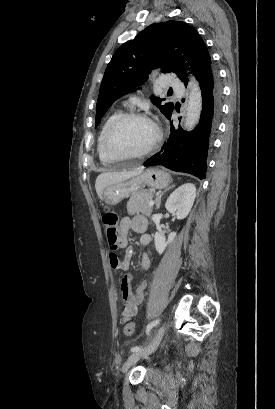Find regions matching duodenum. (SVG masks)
Instances as JSON below:
<instances>
[{
    "label": "duodenum",
    "instance_id": "1",
    "mask_svg": "<svg viewBox=\"0 0 275 409\" xmlns=\"http://www.w3.org/2000/svg\"><path fill=\"white\" fill-rule=\"evenodd\" d=\"M144 230H145V226H144V225H142V226L139 227V231H144Z\"/></svg>",
    "mask_w": 275,
    "mask_h": 409
}]
</instances>
